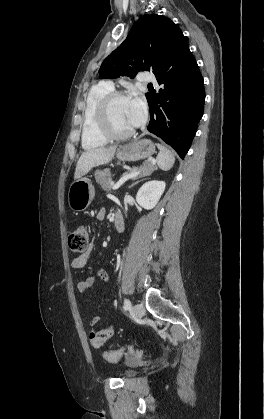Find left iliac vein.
Masks as SVG:
<instances>
[{
  "instance_id": "left-iliac-vein-1",
  "label": "left iliac vein",
  "mask_w": 264,
  "mask_h": 419,
  "mask_svg": "<svg viewBox=\"0 0 264 419\" xmlns=\"http://www.w3.org/2000/svg\"><path fill=\"white\" fill-rule=\"evenodd\" d=\"M133 314L138 319L142 318L145 314L144 306L142 304H135L133 306Z\"/></svg>"
}]
</instances>
